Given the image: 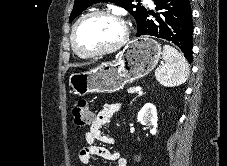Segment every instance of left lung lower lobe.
Listing matches in <instances>:
<instances>
[{
    "label": "left lung lower lobe",
    "instance_id": "1",
    "mask_svg": "<svg viewBox=\"0 0 227 166\" xmlns=\"http://www.w3.org/2000/svg\"><path fill=\"white\" fill-rule=\"evenodd\" d=\"M154 4L160 13H152L153 21L148 19L151 13L147 11L137 36L152 35L171 41L191 63L193 24L189 0H154Z\"/></svg>",
    "mask_w": 227,
    "mask_h": 166
}]
</instances>
